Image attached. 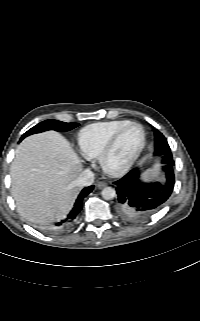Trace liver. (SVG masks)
Instances as JSON below:
<instances>
[{"mask_svg": "<svg viewBox=\"0 0 200 321\" xmlns=\"http://www.w3.org/2000/svg\"><path fill=\"white\" fill-rule=\"evenodd\" d=\"M82 165L69 142L48 131L25 138L11 165V193L19 214L29 222L62 219L79 192Z\"/></svg>", "mask_w": 200, "mask_h": 321, "instance_id": "obj_1", "label": "liver"}]
</instances>
